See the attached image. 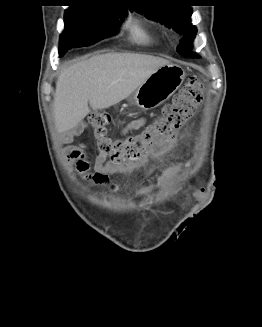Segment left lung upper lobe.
Returning <instances> with one entry per match:
<instances>
[{
	"mask_svg": "<svg viewBox=\"0 0 262 327\" xmlns=\"http://www.w3.org/2000/svg\"><path fill=\"white\" fill-rule=\"evenodd\" d=\"M147 18L159 21L183 36L177 51L184 57L199 58L191 52L196 27L191 23L192 9L188 5H176L169 0H139L132 7Z\"/></svg>",
	"mask_w": 262,
	"mask_h": 327,
	"instance_id": "5c2ea615",
	"label": "left lung upper lobe"
}]
</instances>
